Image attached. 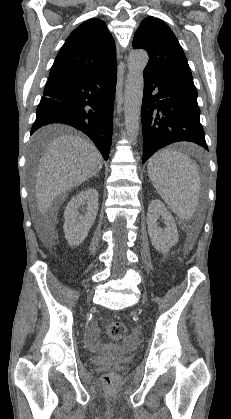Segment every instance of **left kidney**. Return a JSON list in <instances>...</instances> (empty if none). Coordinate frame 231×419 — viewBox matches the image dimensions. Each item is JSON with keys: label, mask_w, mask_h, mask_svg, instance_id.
Listing matches in <instances>:
<instances>
[{"label": "left kidney", "mask_w": 231, "mask_h": 419, "mask_svg": "<svg viewBox=\"0 0 231 419\" xmlns=\"http://www.w3.org/2000/svg\"><path fill=\"white\" fill-rule=\"evenodd\" d=\"M162 217L165 228L158 226V218ZM148 234L154 248L162 253H166L178 242V231L175 220L165 205L158 199L152 200L147 212Z\"/></svg>", "instance_id": "5707ae66"}]
</instances>
